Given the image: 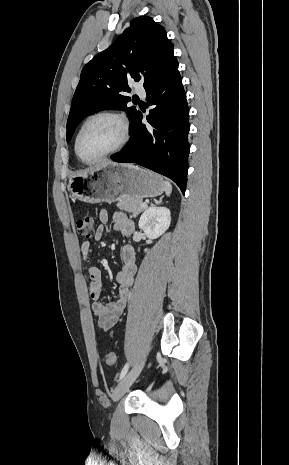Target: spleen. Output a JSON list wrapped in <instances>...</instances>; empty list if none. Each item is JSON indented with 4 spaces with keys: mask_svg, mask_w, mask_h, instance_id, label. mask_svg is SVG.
I'll use <instances>...</instances> for the list:
<instances>
[{
    "mask_svg": "<svg viewBox=\"0 0 289 465\" xmlns=\"http://www.w3.org/2000/svg\"><path fill=\"white\" fill-rule=\"evenodd\" d=\"M164 184H165V193H166L167 196H170V194L172 192V185H171L170 181H167V180L164 182Z\"/></svg>",
    "mask_w": 289,
    "mask_h": 465,
    "instance_id": "3e777b00",
    "label": "spleen"
}]
</instances>
